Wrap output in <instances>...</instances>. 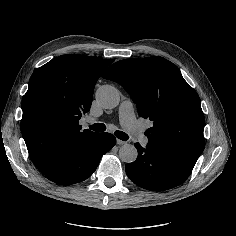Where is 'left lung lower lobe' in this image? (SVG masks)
<instances>
[{"mask_svg":"<svg viewBox=\"0 0 236 236\" xmlns=\"http://www.w3.org/2000/svg\"><path fill=\"white\" fill-rule=\"evenodd\" d=\"M135 147L138 157L126 165V174L136 185L147 190L164 191L182 184L196 163L157 144L148 143L143 148L135 143Z\"/></svg>","mask_w":236,"mask_h":236,"instance_id":"0a47b994","label":"left lung lower lobe"}]
</instances>
